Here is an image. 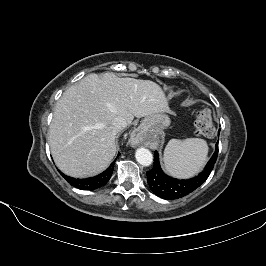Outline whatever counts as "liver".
Here are the masks:
<instances>
[{
    "label": "liver",
    "instance_id": "obj_1",
    "mask_svg": "<svg viewBox=\"0 0 266 266\" xmlns=\"http://www.w3.org/2000/svg\"><path fill=\"white\" fill-rule=\"evenodd\" d=\"M161 87L150 80L95 73L69 87L58 100L49 128V145L57 167L72 177L102 172L116 154L112 121L169 113Z\"/></svg>",
    "mask_w": 266,
    "mask_h": 266
}]
</instances>
